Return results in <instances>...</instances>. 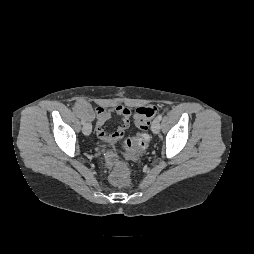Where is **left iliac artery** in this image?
Here are the masks:
<instances>
[{
  "label": "left iliac artery",
  "mask_w": 254,
  "mask_h": 254,
  "mask_svg": "<svg viewBox=\"0 0 254 254\" xmlns=\"http://www.w3.org/2000/svg\"><path fill=\"white\" fill-rule=\"evenodd\" d=\"M157 118H158L159 120H161V119H162V114H159V115L157 116Z\"/></svg>",
  "instance_id": "obj_1"
}]
</instances>
